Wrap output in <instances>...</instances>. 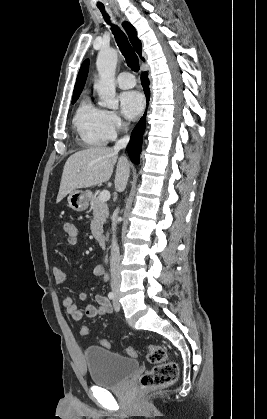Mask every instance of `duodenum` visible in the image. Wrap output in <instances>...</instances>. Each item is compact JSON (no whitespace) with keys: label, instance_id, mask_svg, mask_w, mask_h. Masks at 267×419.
<instances>
[{"label":"duodenum","instance_id":"obj_1","mask_svg":"<svg viewBox=\"0 0 267 419\" xmlns=\"http://www.w3.org/2000/svg\"><path fill=\"white\" fill-rule=\"evenodd\" d=\"M98 243L101 247H104L106 245V237L105 235L101 234L97 237Z\"/></svg>","mask_w":267,"mask_h":419}]
</instances>
